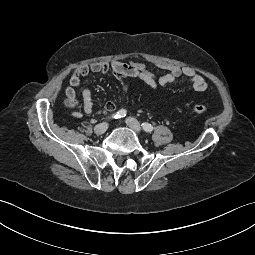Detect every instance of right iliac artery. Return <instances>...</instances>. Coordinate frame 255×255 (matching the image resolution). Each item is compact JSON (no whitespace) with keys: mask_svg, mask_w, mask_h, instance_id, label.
<instances>
[{"mask_svg":"<svg viewBox=\"0 0 255 255\" xmlns=\"http://www.w3.org/2000/svg\"><path fill=\"white\" fill-rule=\"evenodd\" d=\"M126 110L125 109H121L118 112H116L115 114H112V118L118 119V118H122L126 116Z\"/></svg>","mask_w":255,"mask_h":255,"instance_id":"right-iliac-artery-1","label":"right iliac artery"}]
</instances>
